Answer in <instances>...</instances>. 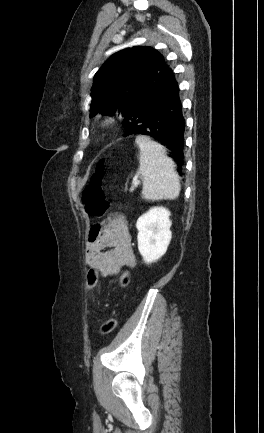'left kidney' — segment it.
Listing matches in <instances>:
<instances>
[{
  "instance_id": "5707ae66",
  "label": "left kidney",
  "mask_w": 264,
  "mask_h": 433,
  "mask_svg": "<svg viewBox=\"0 0 264 433\" xmlns=\"http://www.w3.org/2000/svg\"><path fill=\"white\" fill-rule=\"evenodd\" d=\"M169 216L166 208L153 207L137 220L138 250L147 264L156 262L167 251L172 237Z\"/></svg>"
}]
</instances>
